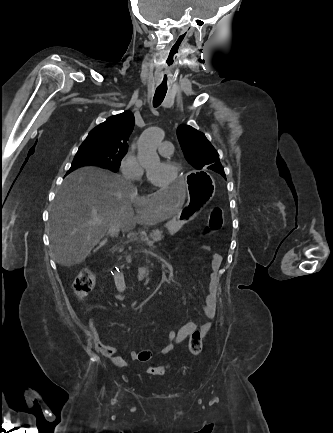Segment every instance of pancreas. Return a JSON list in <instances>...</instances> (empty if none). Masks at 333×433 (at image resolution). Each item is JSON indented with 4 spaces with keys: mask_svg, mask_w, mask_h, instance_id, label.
<instances>
[{
    "mask_svg": "<svg viewBox=\"0 0 333 433\" xmlns=\"http://www.w3.org/2000/svg\"><path fill=\"white\" fill-rule=\"evenodd\" d=\"M162 230H153L149 237L152 239L153 242H159L162 240L163 235H162Z\"/></svg>",
    "mask_w": 333,
    "mask_h": 433,
    "instance_id": "1",
    "label": "pancreas"
}]
</instances>
